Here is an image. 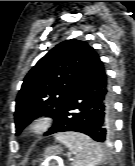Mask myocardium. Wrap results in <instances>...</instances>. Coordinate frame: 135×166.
I'll list each match as a JSON object with an SVG mask.
<instances>
[{
    "label": "myocardium",
    "instance_id": "obj_1",
    "mask_svg": "<svg viewBox=\"0 0 135 166\" xmlns=\"http://www.w3.org/2000/svg\"><path fill=\"white\" fill-rule=\"evenodd\" d=\"M50 124L47 117H38L27 125L26 132L30 135H42L49 129Z\"/></svg>",
    "mask_w": 135,
    "mask_h": 166
}]
</instances>
